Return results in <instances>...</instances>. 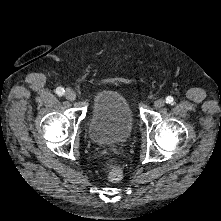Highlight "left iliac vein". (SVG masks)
<instances>
[{"mask_svg": "<svg viewBox=\"0 0 221 221\" xmlns=\"http://www.w3.org/2000/svg\"><path fill=\"white\" fill-rule=\"evenodd\" d=\"M156 108H161L165 105V100L164 99H157L154 103Z\"/></svg>", "mask_w": 221, "mask_h": 221, "instance_id": "4c4485c4", "label": "left iliac vein"}]
</instances>
